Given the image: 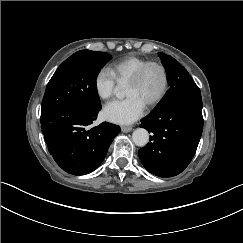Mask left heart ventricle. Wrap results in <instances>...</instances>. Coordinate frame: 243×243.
Returning a JSON list of instances; mask_svg holds the SVG:
<instances>
[{"mask_svg": "<svg viewBox=\"0 0 243 243\" xmlns=\"http://www.w3.org/2000/svg\"><path fill=\"white\" fill-rule=\"evenodd\" d=\"M164 83L162 70L158 66L152 65L146 69L137 83L126 84L125 95H136L148 105L161 94Z\"/></svg>", "mask_w": 243, "mask_h": 243, "instance_id": "1", "label": "left heart ventricle"}]
</instances>
